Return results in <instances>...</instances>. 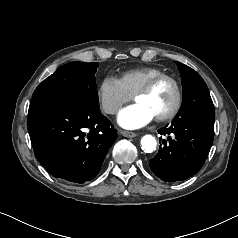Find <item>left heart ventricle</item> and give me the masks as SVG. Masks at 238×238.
I'll list each match as a JSON object with an SVG mask.
<instances>
[{"label": "left heart ventricle", "mask_w": 238, "mask_h": 238, "mask_svg": "<svg viewBox=\"0 0 238 238\" xmlns=\"http://www.w3.org/2000/svg\"><path fill=\"white\" fill-rule=\"evenodd\" d=\"M175 98L173 84L168 80H164L148 94L138 96L135 101L144 105L157 117L170 111L174 105Z\"/></svg>", "instance_id": "left-heart-ventricle-1"}]
</instances>
